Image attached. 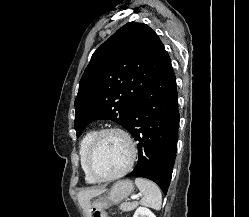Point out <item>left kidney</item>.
<instances>
[{"label": "left kidney", "instance_id": "5707ae66", "mask_svg": "<svg viewBox=\"0 0 249 217\" xmlns=\"http://www.w3.org/2000/svg\"><path fill=\"white\" fill-rule=\"evenodd\" d=\"M133 217H156L155 214L146 207H139Z\"/></svg>", "mask_w": 249, "mask_h": 217}]
</instances>
